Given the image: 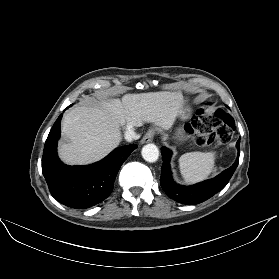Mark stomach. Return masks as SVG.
<instances>
[{
  "instance_id": "stomach-1",
  "label": "stomach",
  "mask_w": 279,
  "mask_h": 279,
  "mask_svg": "<svg viewBox=\"0 0 279 279\" xmlns=\"http://www.w3.org/2000/svg\"><path fill=\"white\" fill-rule=\"evenodd\" d=\"M190 116V110L189 109H182L181 113H180V117L182 119H187ZM177 138L179 140H184L186 138L185 132L182 128H179L177 131Z\"/></svg>"
}]
</instances>
